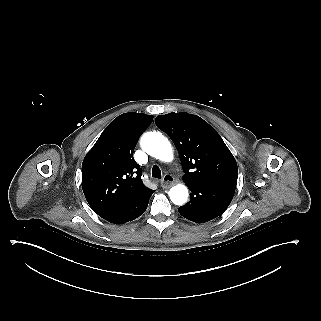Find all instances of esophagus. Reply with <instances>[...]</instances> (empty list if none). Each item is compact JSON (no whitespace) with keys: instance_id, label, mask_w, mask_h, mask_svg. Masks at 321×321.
Segmentation results:
<instances>
[{"instance_id":"obj_1","label":"esophagus","mask_w":321,"mask_h":321,"mask_svg":"<svg viewBox=\"0 0 321 321\" xmlns=\"http://www.w3.org/2000/svg\"><path fill=\"white\" fill-rule=\"evenodd\" d=\"M174 177L170 174H165L161 182V187L168 189L173 186Z\"/></svg>"}]
</instances>
